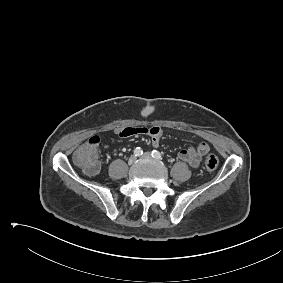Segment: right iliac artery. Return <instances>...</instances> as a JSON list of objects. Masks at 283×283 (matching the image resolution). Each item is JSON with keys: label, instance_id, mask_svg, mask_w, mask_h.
<instances>
[{"label": "right iliac artery", "instance_id": "82829eb1", "mask_svg": "<svg viewBox=\"0 0 283 283\" xmlns=\"http://www.w3.org/2000/svg\"><path fill=\"white\" fill-rule=\"evenodd\" d=\"M134 154H135V156H141L143 154V150L140 147H137L134 150Z\"/></svg>", "mask_w": 283, "mask_h": 283}]
</instances>
